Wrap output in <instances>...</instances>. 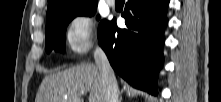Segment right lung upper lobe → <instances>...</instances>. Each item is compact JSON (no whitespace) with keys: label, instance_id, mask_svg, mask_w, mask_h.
<instances>
[{"label":"right lung upper lobe","instance_id":"1","mask_svg":"<svg viewBox=\"0 0 221 102\" xmlns=\"http://www.w3.org/2000/svg\"><path fill=\"white\" fill-rule=\"evenodd\" d=\"M92 2H97V0H49L47 7V20L61 10L72 7H80Z\"/></svg>","mask_w":221,"mask_h":102}]
</instances>
